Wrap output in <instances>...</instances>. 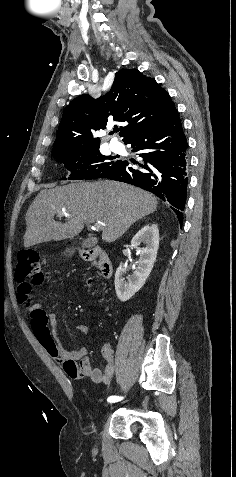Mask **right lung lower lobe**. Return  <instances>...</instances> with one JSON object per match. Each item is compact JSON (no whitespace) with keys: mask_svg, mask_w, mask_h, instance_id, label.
Returning <instances> with one entry per match:
<instances>
[{"mask_svg":"<svg viewBox=\"0 0 236 477\" xmlns=\"http://www.w3.org/2000/svg\"><path fill=\"white\" fill-rule=\"evenodd\" d=\"M131 144L144 164L135 169L128 161H120L106 178L126 182L150 191L169 202L180 224L187 192L188 144L178 112L162 126L133 136Z\"/></svg>","mask_w":236,"mask_h":477,"instance_id":"1","label":"right lung lower lobe"}]
</instances>
